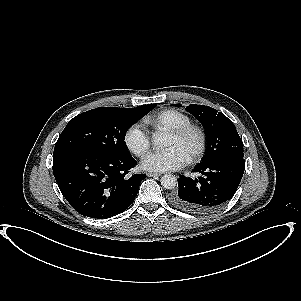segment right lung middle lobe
<instances>
[{
	"label": "right lung middle lobe",
	"instance_id": "dd1d6c3e",
	"mask_svg": "<svg viewBox=\"0 0 301 301\" xmlns=\"http://www.w3.org/2000/svg\"><path fill=\"white\" fill-rule=\"evenodd\" d=\"M154 107H100L79 114L62 131L55 144L53 157L74 151L128 155L130 153L124 142L128 128Z\"/></svg>",
	"mask_w": 301,
	"mask_h": 301
}]
</instances>
